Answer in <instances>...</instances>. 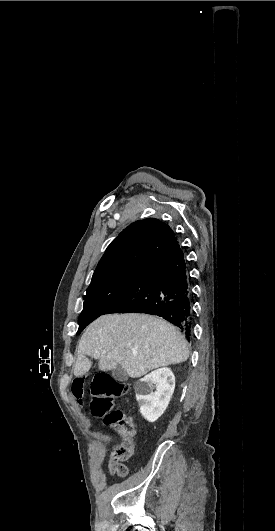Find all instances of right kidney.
I'll list each match as a JSON object with an SVG mask.
<instances>
[{
	"instance_id": "obj_1",
	"label": "right kidney",
	"mask_w": 275,
	"mask_h": 531,
	"mask_svg": "<svg viewBox=\"0 0 275 531\" xmlns=\"http://www.w3.org/2000/svg\"><path fill=\"white\" fill-rule=\"evenodd\" d=\"M134 389L142 417L149 423H155L169 405L175 389V377L167 367L156 369L136 381ZM153 389H156L154 393Z\"/></svg>"
}]
</instances>
